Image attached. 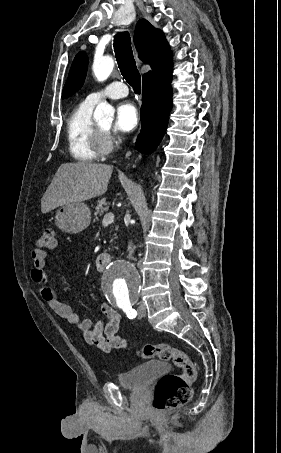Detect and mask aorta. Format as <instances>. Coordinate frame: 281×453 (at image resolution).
I'll list each match as a JSON object with an SVG mask.
<instances>
[{"label":"aorta","instance_id":"obj_1","mask_svg":"<svg viewBox=\"0 0 281 453\" xmlns=\"http://www.w3.org/2000/svg\"><path fill=\"white\" fill-rule=\"evenodd\" d=\"M113 68L114 61L109 56L96 58L92 66L94 75L100 82L110 76ZM113 116L114 108L107 102L99 103L94 111L96 121L110 122L113 120ZM101 288L108 302L123 307L137 300L141 289V279L132 265L119 261L112 262L102 275Z\"/></svg>","mask_w":281,"mask_h":453}]
</instances>
